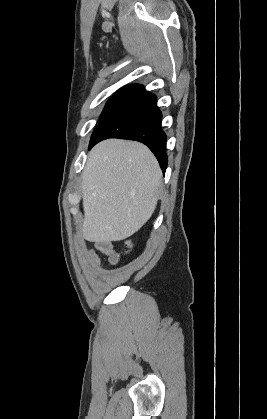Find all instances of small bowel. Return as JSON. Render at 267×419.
<instances>
[{
  "label": "small bowel",
  "instance_id": "1",
  "mask_svg": "<svg viewBox=\"0 0 267 419\" xmlns=\"http://www.w3.org/2000/svg\"><path fill=\"white\" fill-rule=\"evenodd\" d=\"M95 248L106 255L108 262L115 266L118 264L120 257L115 251L113 245L106 241H99L95 243ZM88 259L93 268L98 269L100 266L99 258L93 250L87 252Z\"/></svg>",
  "mask_w": 267,
  "mask_h": 419
}]
</instances>
